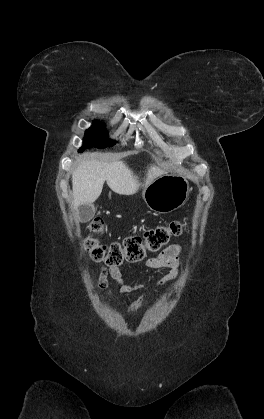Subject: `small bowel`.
<instances>
[{
  "instance_id": "c3829d8e",
  "label": "small bowel",
  "mask_w": 264,
  "mask_h": 419,
  "mask_svg": "<svg viewBox=\"0 0 264 419\" xmlns=\"http://www.w3.org/2000/svg\"><path fill=\"white\" fill-rule=\"evenodd\" d=\"M181 252V247L179 245H170L164 249L159 255L155 257L148 258L146 260V265L152 269H161L169 268L170 272L157 281L156 286H162L168 282L174 280L178 274L179 266V255ZM108 277H111L117 284L119 291L121 293H131L137 290L144 288L142 284L128 285L125 283L121 271L117 268L106 269L103 268L100 271L98 286L100 288L108 287ZM145 302V299L142 297L135 303L131 304L126 308L127 312H133L141 307Z\"/></svg>"
}]
</instances>
